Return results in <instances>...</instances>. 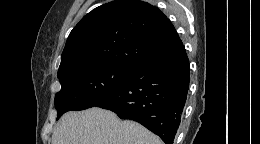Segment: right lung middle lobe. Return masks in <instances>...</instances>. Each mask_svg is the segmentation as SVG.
Instances as JSON below:
<instances>
[{
    "label": "right lung middle lobe",
    "mask_w": 260,
    "mask_h": 144,
    "mask_svg": "<svg viewBox=\"0 0 260 144\" xmlns=\"http://www.w3.org/2000/svg\"><path fill=\"white\" fill-rule=\"evenodd\" d=\"M132 71L131 67L104 64L58 76L61 90L54 101L57 120L67 111L96 106L115 93Z\"/></svg>",
    "instance_id": "dd1d6c3e"
}]
</instances>
